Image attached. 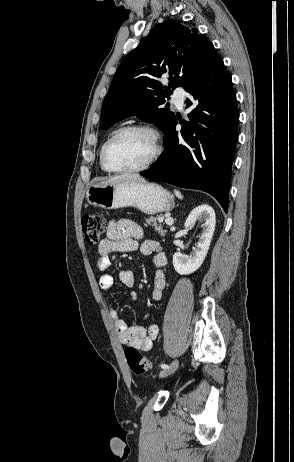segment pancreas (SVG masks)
Masks as SVG:
<instances>
[{"instance_id":"obj_1","label":"pancreas","mask_w":294,"mask_h":462,"mask_svg":"<svg viewBox=\"0 0 294 462\" xmlns=\"http://www.w3.org/2000/svg\"><path fill=\"white\" fill-rule=\"evenodd\" d=\"M159 217H150V218H146V222L149 224V225H152L155 227V230L158 231L162 236L165 235L166 231L163 230V227L162 225L158 224L157 221H158Z\"/></svg>"}]
</instances>
